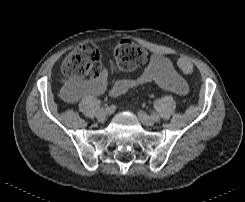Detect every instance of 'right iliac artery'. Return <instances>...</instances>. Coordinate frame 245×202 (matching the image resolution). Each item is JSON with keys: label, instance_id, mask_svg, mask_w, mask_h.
<instances>
[{"label": "right iliac artery", "instance_id": "right-iliac-artery-1", "mask_svg": "<svg viewBox=\"0 0 245 202\" xmlns=\"http://www.w3.org/2000/svg\"><path fill=\"white\" fill-rule=\"evenodd\" d=\"M116 109V106L114 104H112L111 106H107L106 110H108L109 113L114 112Z\"/></svg>", "mask_w": 245, "mask_h": 202}]
</instances>
